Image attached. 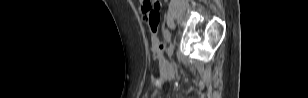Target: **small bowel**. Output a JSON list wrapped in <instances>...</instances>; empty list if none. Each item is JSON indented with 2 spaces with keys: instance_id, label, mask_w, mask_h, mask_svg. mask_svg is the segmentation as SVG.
Wrapping results in <instances>:
<instances>
[{
  "instance_id": "1",
  "label": "small bowel",
  "mask_w": 308,
  "mask_h": 98,
  "mask_svg": "<svg viewBox=\"0 0 308 98\" xmlns=\"http://www.w3.org/2000/svg\"><path fill=\"white\" fill-rule=\"evenodd\" d=\"M146 4V1H142V4H141V11H142V9H143V7H144V5ZM158 25V24H157Z\"/></svg>"
}]
</instances>
